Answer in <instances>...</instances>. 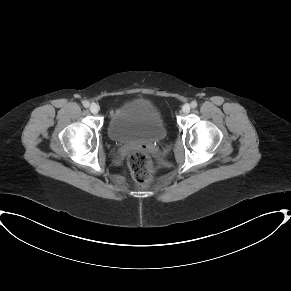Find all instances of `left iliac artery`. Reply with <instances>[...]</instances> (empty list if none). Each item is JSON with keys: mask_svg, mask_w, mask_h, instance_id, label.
<instances>
[{"mask_svg": "<svg viewBox=\"0 0 291 291\" xmlns=\"http://www.w3.org/2000/svg\"><path fill=\"white\" fill-rule=\"evenodd\" d=\"M190 105H191V108H196L197 107V102L194 100V101H192L191 103H190Z\"/></svg>", "mask_w": 291, "mask_h": 291, "instance_id": "44dca946", "label": "left iliac artery"}]
</instances>
